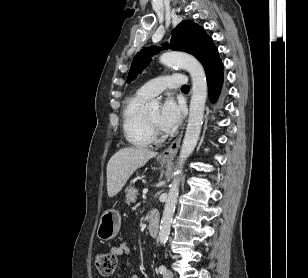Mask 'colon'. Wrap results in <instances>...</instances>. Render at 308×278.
Wrapping results in <instances>:
<instances>
[{
	"instance_id": "obj_1",
	"label": "colon",
	"mask_w": 308,
	"mask_h": 278,
	"mask_svg": "<svg viewBox=\"0 0 308 278\" xmlns=\"http://www.w3.org/2000/svg\"><path fill=\"white\" fill-rule=\"evenodd\" d=\"M94 264L100 274L109 276L115 271L117 257L111 251L98 252L94 257Z\"/></svg>"
}]
</instances>
